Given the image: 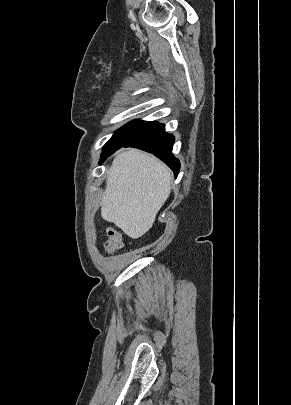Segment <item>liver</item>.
Returning <instances> with one entry per match:
<instances>
[{"label": "liver", "mask_w": 291, "mask_h": 405, "mask_svg": "<svg viewBox=\"0 0 291 405\" xmlns=\"http://www.w3.org/2000/svg\"><path fill=\"white\" fill-rule=\"evenodd\" d=\"M172 173L154 156L128 149L113 160L101 199V216L131 238L143 236L170 195Z\"/></svg>", "instance_id": "liver-1"}]
</instances>
